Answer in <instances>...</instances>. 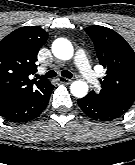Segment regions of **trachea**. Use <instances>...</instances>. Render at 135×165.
Here are the masks:
<instances>
[{
	"label": "trachea",
	"instance_id": "trachea-1",
	"mask_svg": "<svg viewBox=\"0 0 135 165\" xmlns=\"http://www.w3.org/2000/svg\"><path fill=\"white\" fill-rule=\"evenodd\" d=\"M61 75L66 77V78H71L72 77V73L67 71V70H63L61 72ZM57 73L53 70L47 72L44 76H38V78H43V79H48V78H53L56 77Z\"/></svg>",
	"mask_w": 135,
	"mask_h": 165
}]
</instances>
